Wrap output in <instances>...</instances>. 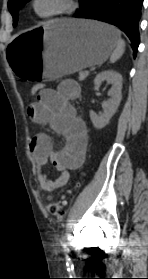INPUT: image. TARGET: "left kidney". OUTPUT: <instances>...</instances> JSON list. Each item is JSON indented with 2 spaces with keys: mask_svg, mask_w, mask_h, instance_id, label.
I'll use <instances>...</instances> for the list:
<instances>
[{
  "mask_svg": "<svg viewBox=\"0 0 148 279\" xmlns=\"http://www.w3.org/2000/svg\"><path fill=\"white\" fill-rule=\"evenodd\" d=\"M104 81L112 84V87L108 91L109 101L102 104L103 113L98 115L93 110L90 111V118L96 129H102L109 123L117 111L122 98V76L119 73L113 70L103 71L96 76L94 84L99 86Z\"/></svg>",
  "mask_w": 148,
  "mask_h": 279,
  "instance_id": "1",
  "label": "left kidney"
}]
</instances>
